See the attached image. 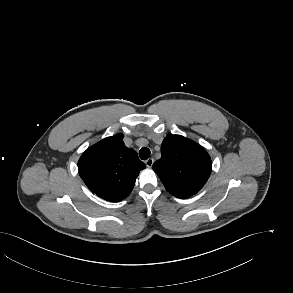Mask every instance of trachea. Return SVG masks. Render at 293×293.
Returning <instances> with one entry per match:
<instances>
[{
  "label": "trachea",
  "instance_id": "trachea-1",
  "mask_svg": "<svg viewBox=\"0 0 293 293\" xmlns=\"http://www.w3.org/2000/svg\"><path fill=\"white\" fill-rule=\"evenodd\" d=\"M139 156L142 160H146L150 156V150L148 148H141Z\"/></svg>",
  "mask_w": 293,
  "mask_h": 293
}]
</instances>
